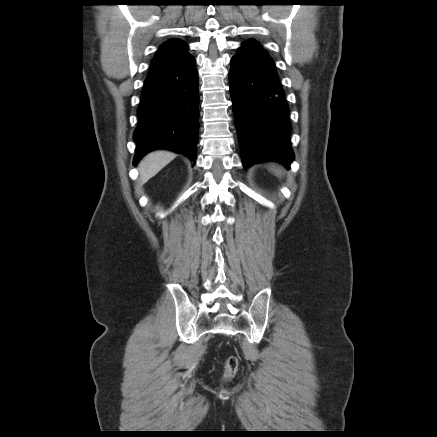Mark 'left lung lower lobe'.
<instances>
[{"label": "left lung lower lobe", "mask_w": 437, "mask_h": 437, "mask_svg": "<svg viewBox=\"0 0 437 437\" xmlns=\"http://www.w3.org/2000/svg\"><path fill=\"white\" fill-rule=\"evenodd\" d=\"M229 80L243 166L274 160L289 168L291 124L273 60L242 43L231 59Z\"/></svg>", "instance_id": "1"}]
</instances>
